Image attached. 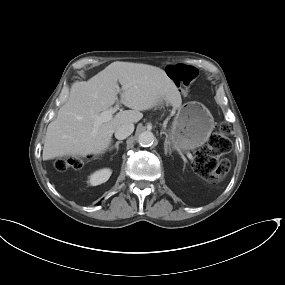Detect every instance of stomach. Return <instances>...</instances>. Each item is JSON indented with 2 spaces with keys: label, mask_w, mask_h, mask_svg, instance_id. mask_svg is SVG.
Wrapping results in <instances>:
<instances>
[{
  "label": "stomach",
  "mask_w": 285,
  "mask_h": 285,
  "mask_svg": "<svg viewBox=\"0 0 285 285\" xmlns=\"http://www.w3.org/2000/svg\"><path fill=\"white\" fill-rule=\"evenodd\" d=\"M213 128L210 111L200 103L188 102L178 109L166 140L174 149L192 150L208 141Z\"/></svg>",
  "instance_id": "1"
}]
</instances>
